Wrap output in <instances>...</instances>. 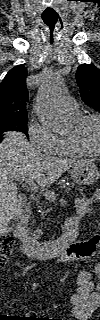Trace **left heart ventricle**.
I'll return each mask as SVG.
<instances>
[{
	"instance_id": "1",
	"label": "left heart ventricle",
	"mask_w": 100,
	"mask_h": 320,
	"mask_svg": "<svg viewBox=\"0 0 100 320\" xmlns=\"http://www.w3.org/2000/svg\"><path fill=\"white\" fill-rule=\"evenodd\" d=\"M72 133V128L68 134ZM81 140L91 149L97 150L100 146L99 126L95 121L87 122L80 131Z\"/></svg>"
}]
</instances>
